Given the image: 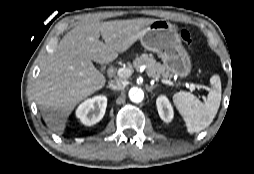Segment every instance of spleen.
I'll return each instance as SVG.
<instances>
[{
	"instance_id": "1",
	"label": "spleen",
	"mask_w": 254,
	"mask_h": 174,
	"mask_svg": "<svg viewBox=\"0 0 254 174\" xmlns=\"http://www.w3.org/2000/svg\"><path fill=\"white\" fill-rule=\"evenodd\" d=\"M211 90L205 103L190 92L181 91L173 96V102L183 117L187 131L191 134L207 128L215 118L221 102V81L218 75L212 76Z\"/></svg>"
}]
</instances>
